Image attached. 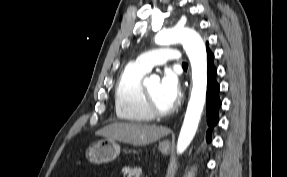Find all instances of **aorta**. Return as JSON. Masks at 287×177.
<instances>
[{
    "label": "aorta",
    "mask_w": 287,
    "mask_h": 177,
    "mask_svg": "<svg viewBox=\"0 0 287 177\" xmlns=\"http://www.w3.org/2000/svg\"><path fill=\"white\" fill-rule=\"evenodd\" d=\"M176 42L182 43L192 70L191 96L177 141V153L182 154L195 136L204 108L207 89V54L202 38L192 29L174 27L159 32L155 37V43L158 45H170ZM157 80L159 78L153 75L144 83L148 85L151 81Z\"/></svg>",
    "instance_id": "aorta-1"
}]
</instances>
